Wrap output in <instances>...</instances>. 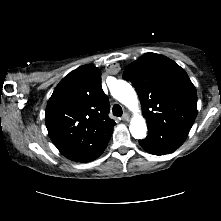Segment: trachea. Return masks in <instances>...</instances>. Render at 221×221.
Returning <instances> with one entry per match:
<instances>
[{
	"instance_id": "obj_1",
	"label": "trachea",
	"mask_w": 221,
	"mask_h": 221,
	"mask_svg": "<svg viewBox=\"0 0 221 221\" xmlns=\"http://www.w3.org/2000/svg\"><path fill=\"white\" fill-rule=\"evenodd\" d=\"M123 111L120 105L115 104L113 106V114L117 117H120L122 115Z\"/></svg>"
}]
</instances>
